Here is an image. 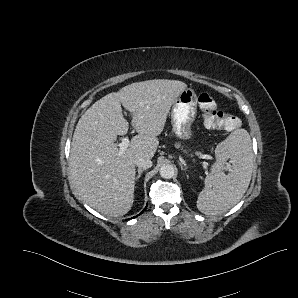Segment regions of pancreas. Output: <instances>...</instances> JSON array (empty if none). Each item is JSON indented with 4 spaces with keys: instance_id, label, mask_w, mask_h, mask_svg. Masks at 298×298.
Returning a JSON list of instances; mask_svg holds the SVG:
<instances>
[{
    "instance_id": "cf45deb5",
    "label": "pancreas",
    "mask_w": 298,
    "mask_h": 298,
    "mask_svg": "<svg viewBox=\"0 0 298 298\" xmlns=\"http://www.w3.org/2000/svg\"><path fill=\"white\" fill-rule=\"evenodd\" d=\"M174 147L178 150H181L184 155H188L191 151V148L184 142H181L180 140H175Z\"/></svg>"
}]
</instances>
